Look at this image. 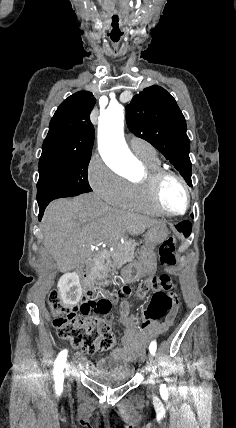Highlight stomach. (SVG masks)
<instances>
[{
	"label": "stomach",
	"instance_id": "0dacf381",
	"mask_svg": "<svg viewBox=\"0 0 236 428\" xmlns=\"http://www.w3.org/2000/svg\"><path fill=\"white\" fill-rule=\"evenodd\" d=\"M168 236V230L163 222H158L155 226L147 228L144 236V246L139 252V260L126 262L121 265L119 272V283L133 286L141 280H150L154 274V269H158V259L154 252L155 246L162 244ZM145 273V274H144Z\"/></svg>",
	"mask_w": 236,
	"mask_h": 428
}]
</instances>
